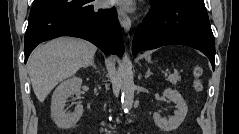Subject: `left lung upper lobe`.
Instances as JSON below:
<instances>
[{"label":"left lung upper lobe","instance_id":"5c2ea615","mask_svg":"<svg viewBox=\"0 0 239 134\" xmlns=\"http://www.w3.org/2000/svg\"><path fill=\"white\" fill-rule=\"evenodd\" d=\"M150 1H153L155 3H164V2H166L168 0H150Z\"/></svg>","mask_w":239,"mask_h":134}]
</instances>
